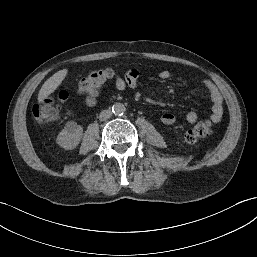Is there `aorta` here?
I'll return each instance as SVG.
<instances>
[{"label":"aorta","mask_w":257,"mask_h":257,"mask_svg":"<svg viewBox=\"0 0 257 257\" xmlns=\"http://www.w3.org/2000/svg\"><path fill=\"white\" fill-rule=\"evenodd\" d=\"M126 111V107L124 104L122 103H115L113 106H112V112L115 114V115H123Z\"/></svg>","instance_id":"1"}]
</instances>
